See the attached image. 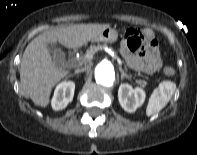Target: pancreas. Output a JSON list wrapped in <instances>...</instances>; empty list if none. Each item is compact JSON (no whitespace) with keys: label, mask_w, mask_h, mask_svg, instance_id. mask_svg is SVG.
<instances>
[{"label":"pancreas","mask_w":197,"mask_h":155,"mask_svg":"<svg viewBox=\"0 0 197 155\" xmlns=\"http://www.w3.org/2000/svg\"><path fill=\"white\" fill-rule=\"evenodd\" d=\"M102 47H104V46L100 45V44H98V45H91L87 49L85 56L81 58L82 62H88L92 58L93 54L95 52L99 51L100 49H102ZM131 77L132 76L129 75V79H131ZM135 83L140 85V86H142V87H144L147 84V82L145 80H136Z\"/></svg>","instance_id":"cf45deb5"}]
</instances>
